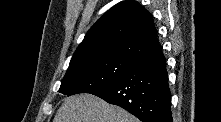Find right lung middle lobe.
<instances>
[{"label":"right lung middle lobe","instance_id":"obj_1","mask_svg":"<svg viewBox=\"0 0 221 122\" xmlns=\"http://www.w3.org/2000/svg\"><path fill=\"white\" fill-rule=\"evenodd\" d=\"M134 62L135 59L122 56H105L81 62L68 68L59 92L67 96L91 93L121 78Z\"/></svg>","mask_w":221,"mask_h":122}]
</instances>
